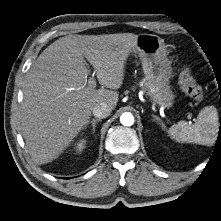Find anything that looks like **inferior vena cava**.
Here are the masks:
<instances>
[{
  "label": "inferior vena cava",
  "mask_w": 221,
  "mask_h": 221,
  "mask_svg": "<svg viewBox=\"0 0 221 221\" xmlns=\"http://www.w3.org/2000/svg\"><path fill=\"white\" fill-rule=\"evenodd\" d=\"M93 115L99 119L106 118L110 115V108L104 103L97 104L92 109Z\"/></svg>",
  "instance_id": "inferior-vena-cava-1"
}]
</instances>
